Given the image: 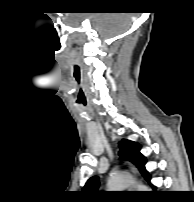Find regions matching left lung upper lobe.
<instances>
[{"instance_id":"obj_1","label":"left lung upper lobe","mask_w":194,"mask_h":202,"mask_svg":"<svg viewBox=\"0 0 194 202\" xmlns=\"http://www.w3.org/2000/svg\"><path fill=\"white\" fill-rule=\"evenodd\" d=\"M119 155L122 159H128L139 169L142 176L150 181V176L145 168L146 158L140 153L141 146L133 141L123 139L119 144ZM98 177L90 178L85 184L83 191L87 193H95L98 189Z\"/></svg>"}]
</instances>
